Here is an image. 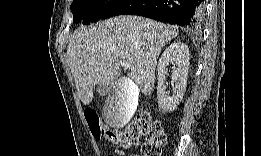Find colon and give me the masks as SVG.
Returning a JSON list of instances; mask_svg holds the SVG:
<instances>
[{"instance_id":"5ec220e1","label":"colon","mask_w":261,"mask_h":156,"mask_svg":"<svg viewBox=\"0 0 261 156\" xmlns=\"http://www.w3.org/2000/svg\"><path fill=\"white\" fill-rule=\"evenodd\" d=\"M86 119L93 135L97 138H104L107 141L124 149H129L139 144L141 137H145L142 146V155L158 156L165 143V134L162 123L154 120L150 112H142L137 119L123 130H110L102 126L97 120V113L93 110L86 112Z\"/></svg>"}]
</instances>
